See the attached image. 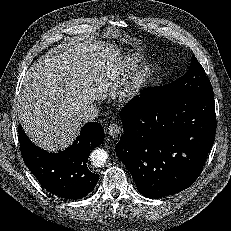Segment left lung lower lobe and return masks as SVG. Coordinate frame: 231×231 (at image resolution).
<instances>
[{
	"label": "left lung lower lobe",
	"instance_id": "obj_1",
	"mask_svg": "<svg viewBox=\"0 0 231 231\" xmlns=\"http://www.w3.org/2000/svg\"><path fill=\"white\" fill-rule=\"evenodd\" d=\"M144 91L121 110L124 134L115 151L147 198L178 193L200 175L216 133L213 93L166 101Z\"/></svg>",
	"mask_w": 231,
	"mask_h": 231
}]
</instances>
